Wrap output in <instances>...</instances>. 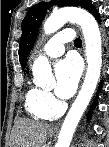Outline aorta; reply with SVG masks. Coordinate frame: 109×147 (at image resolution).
Segmentation results:
<instances>
[{"mask_svg": "<svg viewBox=\"0 0 109 147\" xmlns=\"http://www.w3.org/2000/svg\"><path fill=\"white\" fill-rule=\"evenodd\" d=\"M68 21L77 23L82 28L88 67L82 88L63 122L57 147H69L77 124L94 94L102 65L99 26L88 11L76 7H65L53 12L44 23L45 34L56 32ZM32 72L38 86L45 87L54 80L50 63L45 56H39L35 60Z\"/></svg>", "mask_w": 109, "mask_h": 147, "instance_id": "aorta-1", "label": "aorta"}]
</instances>
